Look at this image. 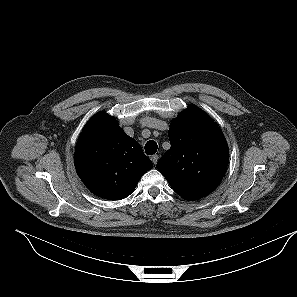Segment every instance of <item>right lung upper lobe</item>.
Listing matches in <instances>:
<instances>
[{"label": "right lung upper lobe", "instance_id": "right-lung-upper-lobe-1", "mask_svg": "<svg viewBox=\"0 0 297 297\" xmlns=\"http://www.w3.org/2000/svg\"><path fill=\"white\" fill-rule=\"evenodd\" d=\"M74 163L86 187L110 200L128 197L153 166L139 143L124 133L114 117L105 114L93 116L85 125Z\"/></svg>", "mask_w": 297, "mask_h": 297}]
</instances>
